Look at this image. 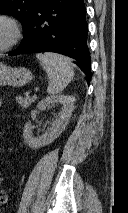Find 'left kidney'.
<instances>
[{
    "mask_svg": "<svg viewBox=\"0 0 128 213\" xmlns=\"http://www.w3.org/2000/svg\"><path fill=\"white\" fill-rule=\"evenodd\" d=\"M75 97L70 95L49 96L40 101L37 105L39 110H45L51 104H61L62 108L55 120L42 136H33V127L31 122H27L24 126L23 138L26 144L32 149H38L52 143L65 129L69 118L74 110Z\"/></svg>",
    "mask_w": 128,
    "mask_h": 213,
    "instance_id": "5707ae66",
    "label": "left kidney"
}]
</instances>
